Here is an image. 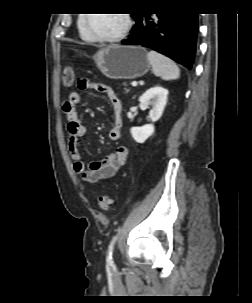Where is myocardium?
Returning a JSON list of instances; mask_svg holds the SVG:
<instances>
[{
    "mask_svg": "<svg viewBox=\"0 0 252 303\" xmlns=\"http://www.w3.org/2000/svg\"><path fill=\"white\" fill-rule=\"evenodd\" d=\"M123 15L125 17V26L120 32H118L116 34L109 35V36H102V35H97V34L91 33L88 29L89 17H86L83 19V31H84L86 37H88L89 39H92V40L104 41V42H115V41L121 40L128 34V32L130 31L132 24H133L132 16L130 13H124Z\"/></svg>",
    "mask_w": 252,
    "mask_h": 303,
    "instance_id": "obj_1",
    "label": "myocardium"
}]
</instances>
